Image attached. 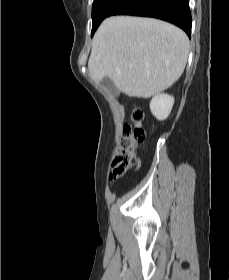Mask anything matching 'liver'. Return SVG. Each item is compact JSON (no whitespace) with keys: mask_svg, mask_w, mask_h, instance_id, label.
Listing matches in <instances>:
<instances>
[{"mask_svg":"<svg viewBox=\"0 0 229 280\" xmlns=\"http://www.w3.org/2000/svg\"><path fill=\"white\" fill-rule=\"evenodd\" d=\"M189 54V39L178 27L157 19L115 16L97 29L88 72L100 84L108 77L130 97L150 98L175 83Z\"/></svg>","mask_w":229,"mask_h":280,"instance_id":"6515ba94","label":"liver"}]
</instances>
